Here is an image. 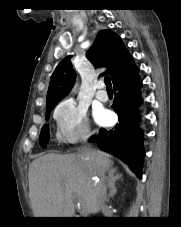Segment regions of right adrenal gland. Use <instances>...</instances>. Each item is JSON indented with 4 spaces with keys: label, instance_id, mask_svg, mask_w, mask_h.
Returning <instances> with one entry per match:
<instances>
[{
    "label": "right adrenal gland",
    "instance_id": "obj_1",
    "mask_svg": "<svg viewBox=\"0 0 181 227\" xmlns=\"http://www.w3.org/2000/svg\"><path fill=\"white\" fill-rule=\"evenodd\" d=\"M116 168H113L112 170L109 171V177H108V185L110 188V193L108 195L109 198H112L115 196L117 189L115 187V183L117 180H120L122 178L121 174L116 173Z\"/></svg>",
    "mask_w": 181,
    "mask_h": 227
}]
</instances>
